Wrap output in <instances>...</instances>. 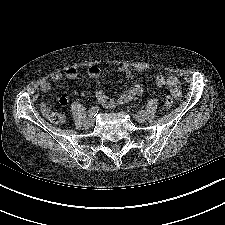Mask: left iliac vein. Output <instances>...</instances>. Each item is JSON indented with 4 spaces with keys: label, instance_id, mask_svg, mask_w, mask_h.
<instances>
[{
    "label": "left iliac vein",
    "instance_id": "obj_1",
    "mask_svg": "<svg viewBox=\"0 0 225 225\" xmlns=\"http://www.w3.org/2000/svg\"><path fill=\"white\" fill-rule=\"evenodd\" d=\"M134 119L140 123L146 121V115L144 113H137L133 115Z\"/></svg>",
    "mask_w": 225,
    "mask_h": 225
}]
</instances>
